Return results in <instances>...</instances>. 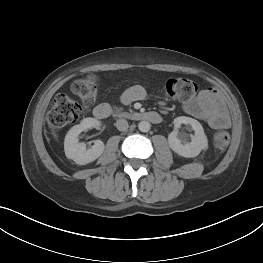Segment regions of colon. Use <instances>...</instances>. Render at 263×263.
I'll return each instance as SVG.
<instances>
[{"label": "colon", "instance_id": "5ec220e1", "mask_svg": "<svg viewBox=\"0 0 263 263\" xmlns=\"http://www.w3.org/2000/svg\"><path fill=\"white\" fill-rule=\"evenodd\" d=\"M71 91L85 106L92 104L98 94L97 80L94 76L75 81L71 86ZM198 85L188 78H171L165 84L167 97L188 102L197 94ZM84 112V107L71 97L60 94L57 95L48 113V124L53 129H60L66 125L74 123ZM229 134L224 130L216 131L212 141L215 149L224 150L229 144Z\"/></svg>", "mask_w": 263, "mask_h": 263}]
</instances>
